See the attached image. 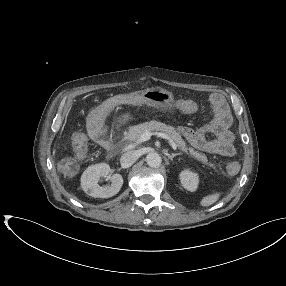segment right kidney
<instances>
[{"mask_svg":"<svg viewBox=\"0 0 286 286\" xmlns=\"http://www.w3.org/2000/svg\"><path fill=\"white\" fill-rule=\"evenodd\" d=\"M107 178L111 185L100 187V178ZM123 185V178L120 174H112L110 166L100 163L89 166L81 176V187L83 191L94 198H109L116 195Z\"/></svg>","mask_w":286,"mask_h":286,"instance_id":"1","label":"right kidney"}]
</instances>
